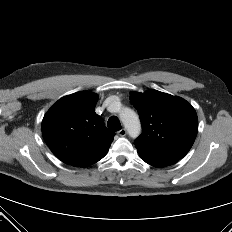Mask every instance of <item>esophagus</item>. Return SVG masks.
<instances>
[{
  "mask_svg": "<svg viewBox=\"0 0 232 232\" xmlns=\"http://www.w3.org/2000/svg\"><path fill=\"white\" fill-rule=\"evenodd\" d=\"M117 133H118V135L121 136V137H124V136L127 134L125 128H122V129L119 130Z\"/></svg>",
  "mask_w": 232,
  "mask_h": 232,
  "instance_id": "esophagus-1",
  "label": "esophagus"
}]
</instances>
